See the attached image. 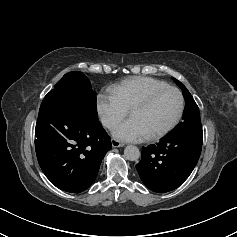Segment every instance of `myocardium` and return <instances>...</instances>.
Returning a JSON list of instances; mask_svg holds the SVG:
<instances>
[{"label": "myocardium", "instance_id": "f54148a6", "mask_svg": "<svg viewBox=\"0 0 237 237\" xmlns=\"http://www.w3.org/2000/svg\"><path fill=\"white\" fill-rule=\"evenodd\" d=\"M166 90H172L174 91L178 97H179V107L177 110L176 115L174 116V118L172 119V121L166 126L164 127L162 130L147 136V140L149 141H154L157 139L162 138L163 136H165L168 132H170L180 121L183 111H184V106H185V100H184V96L182 94V92L174 86L171 85H166L160 88H156L150 92H148L146 95H144L142 98H140L139 100H137L129 109V114L132 110L137 109V108H143L146 107L147 105H149L151 103V101L160 93L166 91Z\"/></svg>", "mask_w": 237, "mask_h": 237}]
</instances>
